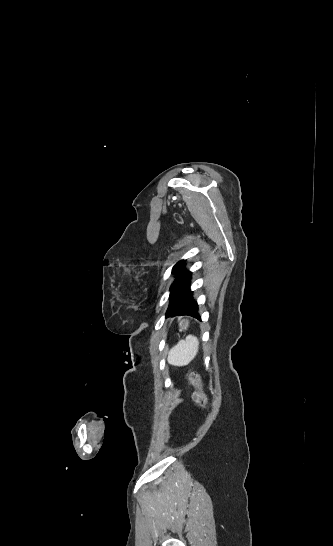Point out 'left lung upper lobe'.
I'll return each mask as SVG.
<instances>
[{
    "label": "left lung upper lobe",
    "mask_w": 333,
    "mask_h": 546,
    "mask_svg": "<svg viewBox=\"0 0 333 546\" xmlns=\"http://www.w3.org/2000/svg\"><path fill=\"white\" fill-rule=\"evenodd\" d=\"M184 266H185V261H179V262L173 267L172 272H173V273H176V274L178 275V274H180V273L183 271Z\"/></svg>",
    "instance_id": "1"
}]
</instances>
